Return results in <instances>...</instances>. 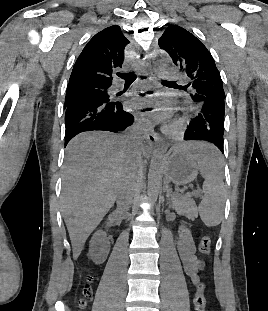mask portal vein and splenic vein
<instances>
[{
  "mask_svg": "<svg viewBox=\"0 0 268 311\" xmlns=\"http://www.w3.org/2000/svg\"><path fill=\"white\" fill-rule=\"evenodd\" d=\"M193 194L196 195V196H198V195H199V192H194Z\"/></svg>",
  "mask_w": 268,
  "mask_h": 311,
  "instance_id": "18ae733b",
  "label": "portal vein and splenic vein"
}]
</instances>
